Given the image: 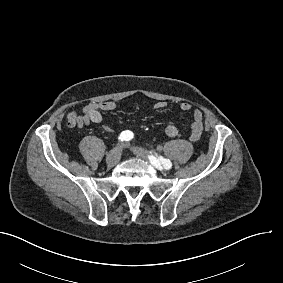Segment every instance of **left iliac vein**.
<instances>
[{
    "label": "left iliac vein",
    "mask_w": 283,
    "mask_h": 283,
    "mask_svg": "<svg viewBox=\"0 0 283 283\" xmlns=\"http://www.w3.org/2000/svg\"><path fill=\"white\" fill-rule=\"evenodd\" d=\"M124 147H127V144L123 145ZM133 152L136 156L138 157H141L143 159H147L148 157H152L150 156V154L142 147H135L133 149ZM157 169L161 170V171H164L165 170V167L162 166V164H158L157 166H155Z\"/></svg>",
    "instance_id": "left-iliac-vein-1"
}]
</instances>
